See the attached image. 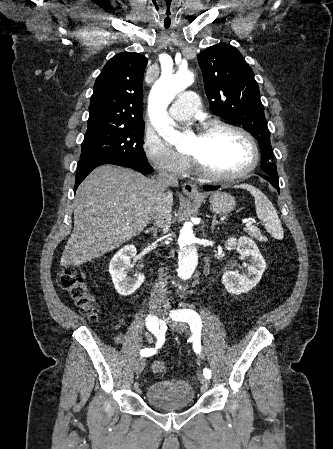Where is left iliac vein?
Returning <instances> with one entry per match:
<instances>
[{
	"instance_id": "4c4485c4",
	"label": "left iliac vein",
	"mask_w": 333,
	"mask_h": 449,
	"mask_svg": "<svg viewBox=\"0 0 333 449\" xmlns=\"http://www.w3.org/2000/svg\"><path fill=\"white\" fill-rule=\"evenodd\" d=\"M162 318L170 326V328L180 334L187 332V327L184 324L174 322L170 319L167 309L165 308L161 313ZM198 380L204 388L209 386V380L203 375V373L198 372Z\"/></svg>"
}]
</instances>
